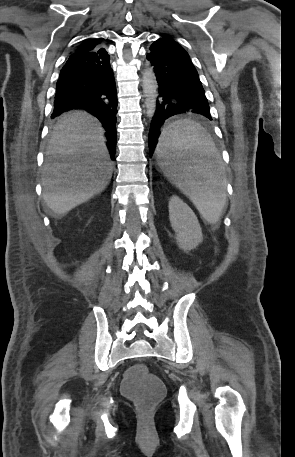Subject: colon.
<instances>
[{
	"label": "colon",
	"mask_w": 295,
	"mask_h": 457,
	"mask_svg": "<svg viewBox=\"0 0 295 457\" xmlns=\"http://www.w3.org/2000/svg\"><path fill=\"white\" fill-rule=\"evenodd\" d=\"M121 390L134 400L144 413H148L154 407L163 393L157 374H152L146 363H135L134 369L126 370V381H121Z\"/></svg>",
	"instance_id": "obj_1"
}]
</instances>
